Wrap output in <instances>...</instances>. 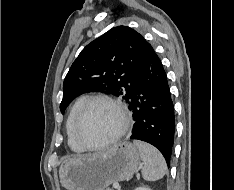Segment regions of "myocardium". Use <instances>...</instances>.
Returning <instances> with one entry per match:
<instances>
[{"label":"myocardium","mask_w":234,"mask_h":190,"mask_svg":"<svg viewBox=\"0 0 234 190\" xmlns=\"http://www.w3.org/2000/svg\"><path fill=\"white\" fill-rule=\"evenodd\" d=\"M95 102H105V103H108L111 106H113L120 115L121 126L118 129V131L110 139H108L102 143L96 144V145H90V144H87L81 138L80 127H81V123H82V120L84 118V115H85L87 109ZM129 126H130V117H129V114H128L125 106L119 100H117L109 95L99 94V95H94V96L88 97L84 101L82 106L80 107V109L77 113L75 122H74L73 136H74V139L76 140V142L84 150H98V149L105 148V147L113 144L117 140H119L127 132Z\"/></svg>","instance_id":"1"}]
</instances>
